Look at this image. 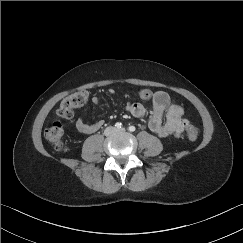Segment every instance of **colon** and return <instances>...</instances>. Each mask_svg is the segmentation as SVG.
<instances>
[{
    "instance_id": "obj_1",
    "label": "colon",
    "mask_w": 243,
    "mask_h": 243,
    "mask_svg": "<svg viewBox=\"0 0 243 243\" xmlns=\"http://www.w3.org/2000/svg\"><path fill=\"white\" fill-rule=\"evenodd\" d=\"M89 94L86 90H78L65 97L59 104L57 115L60 118L70 120L73 117L74 110L83 106L88 101ZM186 133L190 140H196L199 136V130L195 125H187ZM45 138L52 143L57 151H65L66 148L62 141L63 127L60 122L54 121L45 128Z\"/></svg>"
}]
</instances>
